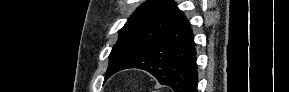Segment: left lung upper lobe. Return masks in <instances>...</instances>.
<instances>
[{
    "label": "left lung upper lobe",
    "instance_id": "5c2ea615",
    "mask_svg": "<svg viewBox=\"0 0 289 92\" xmlns=\"http://www.w3.org/2000/svg\"><path fill=\"white\" fill-rule=\"evenodd\" d=\"M183 16L184 13L172 0H149L143 3L119 30L118 41L109 55L105 80L142 53Z\"/></svg>",
    "mask_w": 289,
    "mask_h": 92
}]
</instances>
